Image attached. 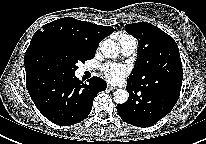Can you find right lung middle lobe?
Instances as JSON below:
<instances>
[{
  "label": "right lung middle lobe",
  "mask_w": 206,
  "mask_h": 144,
  "mask_svg": "<svg viewBox=\"0 0 206 144\" xmlns=\"http://www.w3.org/2000/svg\"><path fill=\"white\" fill-rule=\"evenodd\" d=\"M94 55L59 43L44 41L27 49L24 58L26 75L39 72L74 74L79 61L85 62Z\"/></svg>",
  "instance_id": "1"
}]
</instances>
